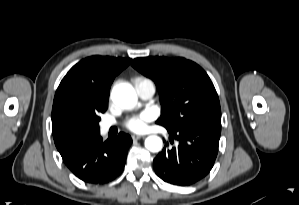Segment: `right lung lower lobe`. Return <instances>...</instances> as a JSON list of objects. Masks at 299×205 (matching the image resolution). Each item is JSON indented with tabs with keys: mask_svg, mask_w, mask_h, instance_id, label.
<instances>
[{
	"mask_svg": "<svg viewBox=\"0 0 299 205\" xmlns=\"http://www.w3.org/2000/svg\"><path fill=\"white\" fill-rule=\"evenodd\" d=\"M131 143V137L125 133H119L111 141H103L98 133L72 145L61 156L79 179L87 183L104 184L123 171Z\"/></svg>",
	"mask_w": 299,
	"mask_h": 205,
	"instance_id": "98d812e1",
	"label": "right lung lower lobe"
}]
</instances>
